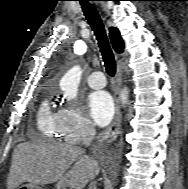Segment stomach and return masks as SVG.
Listing matches in <instances>:
<instances>
[{
	"instance_id": "1",
	"label": "stomach",
	"mask_w": 188,
	"mask_h": 189,
	"mask_svg": "<svg viewBox=\"0 0 188 189\" xmlns=\"http://www.w3.org/2000/svg\"><path fill=\"white\" fill-rule=\"evenodd\" d=\"M17 189H41V188L36 184L28 183L19 186Z\"/></svg>"
}]
</instances>
